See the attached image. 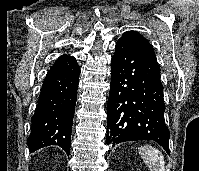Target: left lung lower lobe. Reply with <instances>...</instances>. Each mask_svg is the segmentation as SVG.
I'll use <instances>...</instances> for the list:
<instances>
[{"instance_id": "1", "label": "left lung lower lobe", "mask_w": 199, "mask_h": 171, "mask_svg": "<svg viewBox=\"0 0 199 171\" xmlns=\"http://www.w3.org/2000/svg\"><path fill=\"white\" fill-rule=\"evenodd\" d=\"M164 112L159 65L118 40L111 59L107 144L154 140L169 154L170 132Z\"/></svg>"}]
</instances>
